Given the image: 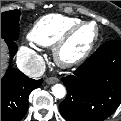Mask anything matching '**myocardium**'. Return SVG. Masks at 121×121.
<instances>
[{
  "mask_svg": "<svg viewBox=\"0 0 121 121\" xmlns=\"http://www.w3.org/2000/svg\"><path fill=\"white\" fill-rule=\"evenodd\" d=\"M92 26L95 29V36L91 43L87 46V48L80 54L66 58L63 55V50L66 45L69 43L71 38L83 27ZM100 32L99 28L94 25L92 22L88 21H81L68 30H66L59 39L54 43L52 52L56 63L62 68H72L84 62L87 57L90 55L94 47L96 46L99 40Z\"/></svg>",
  "mask_w": 121,
  "mask_h": 121,
  "instance_id": "myocardium-1",
  "label": "myocardium"
}]
</instances>
